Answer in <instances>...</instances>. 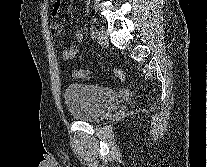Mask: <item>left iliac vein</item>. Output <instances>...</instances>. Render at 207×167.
Instances as JSON below:
<instances>
[{
  "label": "left iliac vein",
  "mask_w": 207,
  "mask_h": 167,
  "mask_svg": "<svg viewBox=\"0 0 207 167\" xmlns=\"http://www.w3.org/2000/svg\"><path fill=\"white\" fill-rule=\"evenodd\" d=\"M97 40H98V43L102 47H107L109 44L108 38H107L106 34L104 33V31H102V30H99L97 32Z\"/></svg>",
  "instance_id": "left-iliac-vein-1"
}]
</instances>
